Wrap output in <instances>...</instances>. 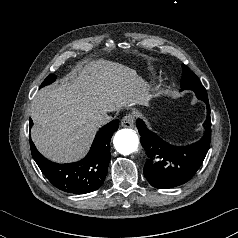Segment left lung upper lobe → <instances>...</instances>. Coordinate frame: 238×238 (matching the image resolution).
<instances>
[{"label": "left lung upper lobe", "mask_w": 238, "mask_h": 238, "mask_svg": "<svg viewBox=\"0 0 238 238\" xmlns=\"http://www.w3.org/2000/svg\"><path fill=\"white\" fill-rule=\"evenodd\" d=\"M182 67L181 89H190L194 91L198 99L208 101L206 89L203 87L198 77L186 65L183 64Z\"/></svg>", "instance_id": "obj_1"}]
</instances>
